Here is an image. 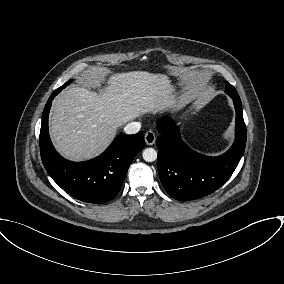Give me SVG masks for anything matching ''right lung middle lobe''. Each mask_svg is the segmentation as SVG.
Listing matches in <instances>:
<instances>
[{"label": "right lung middle lobe", "instance_id": "dd1d6c3e", "mask_svg": "<svg viewBox=\"0 0 284 284\" xmlns=\"http://www.w3.org/2000/svg\"><path fill=\"white\" fill-rule=\"evenodd\" d=\"M72 82V80L67 81L63 86L56 89L54 92L59 93L62 89H64L67 85H69Z\"/></svg>", "mask_w": 284, "mask_h": 284}]
</instances>
